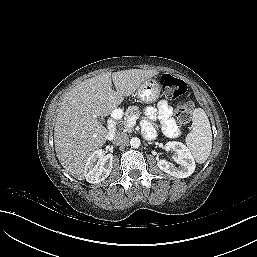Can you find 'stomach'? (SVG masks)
Here are the masks:
<instances>
[{
	"label": "stomach",
	"mask_w": 257,
	"mask_h": 257,
	"mask_svg": "<svg viewBox=\"0 0 257 257\" xmlns=\"http://www.w3.org/2000/svg\"><path fill=\"white\" fill-rule=\"evenodd\" d=\"M138 98L147 104L154 103L160 96V85L156 79H147L136 90Z\"/></svg>",
	"instance_id": "0dacf381"
}]
</instances>
